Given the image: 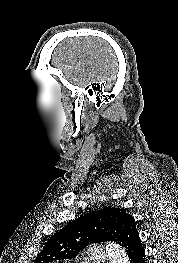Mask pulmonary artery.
I'll list each match as a JSON object with an SVG mask.
<instances>
[{"label": "pulmonary artery", "instance_id": "pulmonary-artery-1", "mask_svg": "<svg viewBox=\"0 0 178 263\" xmlns=\"http://www.w3.org/2000/svg\"><path fill=\"white\" fill-rule=\"evenodd\" d=\"M106 253L102 248H93L89 250L88 259L94 263L106 261Z\"/></svg>", "mask_w": 178, "mask_h": 263}]
</instances>
